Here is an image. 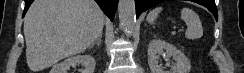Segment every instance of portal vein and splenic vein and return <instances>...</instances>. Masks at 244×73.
<instances>
[{
  "instance_id": "obj_1",
  "label": "portal vein and splenic vein",
  "mask_w": 244,
  "mask_h": 73,
  "mask_svg": "<svg viewBox=\"0 0 244 73\" xmlns=\"http://www.w3.org/2000/svg\"><path fill=\"white\" fill-rule=\"evenodd\" d=\"M175 34H176V31H173V32H172V35H175Z\"/></svg>"
}]
</instances>
